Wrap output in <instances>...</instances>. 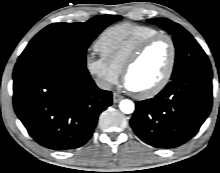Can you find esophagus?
<instances>
[{
    "label": "esophagus",
    "mask_w": 220,
    "mask_h": 173,
    "mask_svg": "<svg viewBox=\"0 0 220 173\" xmlns=\"http://www.w3.org/2000/svg\"><path fill=\"white\" fill-rule=\"evenodd\" d=\"M122 99H123V96H122V95H120V94L117 93V92H114V93H113V102H114V103H118V102H120Z\"/></svg>",
    "instance_id": "34e87169"
}]
</instances>
